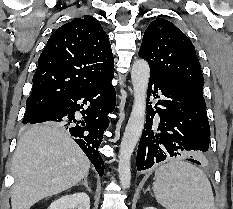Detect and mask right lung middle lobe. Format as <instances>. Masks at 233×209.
<instances>
[{
	"instance_id": "dd1d6c3e",
	"label": "right lung middle lobe",
	"mask_w": 233,
	"mask_h": 209,
	"mask_svg": "<svg viewBox=\"0 0 233 209\" xmlns=\"http://www.w3.org/2000/svg\"><path fill=\"white\" fill-rule=\"evenodd\" d=\"M48 104H26V112L23 118V124H26L33 117H35L42 109H44ZM58 126L56 123H51Z\"/></svg>"
}]
</instances>
